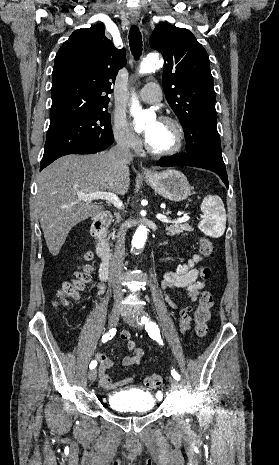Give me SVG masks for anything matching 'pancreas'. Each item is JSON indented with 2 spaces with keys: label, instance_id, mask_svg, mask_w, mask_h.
<instances>
[{
  "label": "pancreas",
  "instance_id": "obj_1",
  "mask_svg": "<svg viewBox=\"0 0 279 465\" xmlns=\"http://www.w3.org/2000/svg\"><path fill=\"white\" fill-rule=\"evenodd\" d=\"M165 229L168 232V234L171 236L179 235L183 233L184 231H187V232L193 231V228L189 224H179V223L166 225ZM114 237H115V231L113 230V232L109 234L108 239L110 238L114 239Z\"/></svg>",
  "mask_w": 279,
  "mask_h": 465
}]
</instances>
